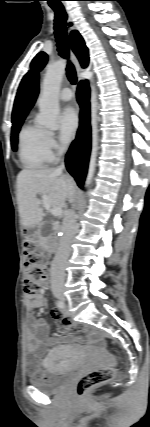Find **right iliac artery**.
Segmentation results:
<instances>
[{
	"label": "right iliac artery",
	"mask_w": 150,
	"mask_h": 427,
	"mask_svg": "<svg viewBox=\"0 0 150 427\" xmlns=\"http://www.w3.org/2000/svg\"><path fill=\"white\" fill-rule=\"evenodd\" d=\"M57 306L59 308H64V303L62 301H57Z\"/></svg>",
	"instance_id": "obj_1"
}]
</instances>
